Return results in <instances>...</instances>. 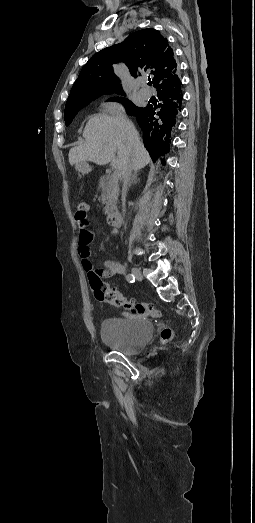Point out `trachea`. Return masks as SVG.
I'll use <instances>...</instances> for the list:
<instances>
[{"mask_svg": "<svg viewBox=\"0 0 255 523\" xmlns=\"http://www.w3.org/2000/svg\"><path fill=\"white\" fill-rule=\"evenodd\" d=\"M148 85H152V82H151L150 80H149V83H148Z\"/></svg>", "mask_w": 255, "mask_h": 523, "instance_id": "trachea-1", "label": "trachea"}]
</instances>
